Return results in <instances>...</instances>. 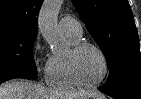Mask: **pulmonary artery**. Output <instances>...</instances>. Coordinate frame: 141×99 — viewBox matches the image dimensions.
I'll return each instance as SVG.
<instances>
[{"label":"pulmonary artery","mask_w":141,"mask_h":99,"mask_svg":"<svg viewBox=\"0 0 141 99\" xmlns=\"http://www.w3.org/2000/svg\"><path fill=\"white\" fill-rule=\"evenodd\" d=\"M59 29L63 34H68L77 38H81L83 29L80 22L70 16H64L59 22Z\"/></svg>","instance_id":"pulmonary-artery-1"}]
</instances>
